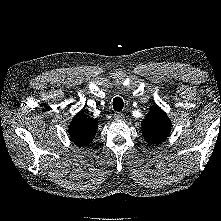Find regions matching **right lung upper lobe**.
Masks as SVG:
<instances>
[{"mask_svg": "<svg viewBox=\"0 0 221 221\" xmlns=\"http://www.w3.org/2000/svg\"><path fill=\"white\" fill-rule=\"evenodd\" d=\"M98 128L97 120L87 118L86 115L79 112L74 116L69 126V134L73 142L80 146L90 144Z\"/></svg>", "mask_w": 221, "mask_h": 221, "instance_id": "cb5924a9", "label": "right lung upper lobe"}]
</instances>
